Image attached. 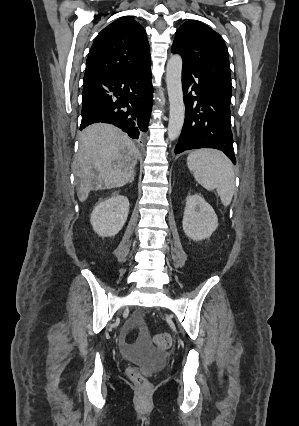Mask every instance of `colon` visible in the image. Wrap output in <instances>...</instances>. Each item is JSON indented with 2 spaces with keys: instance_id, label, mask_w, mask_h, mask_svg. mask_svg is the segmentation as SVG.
<instances>
[{
  "instance_id": "colon-1",
  "label": "colon",
  "mask_w": 299,
  "mask_h": 426,
  "mask_svg": "<svg viewBox=\"0 0 299 426\" xmlns=\"http://www.w3.org/2000/svg\"><path fill=\"white\" fill-rule=\"evenodd\" d=\"M154 344L159 349H167L172 344V338L168 333H161L154 337ZM127 375L136 385L140 394H147L151 390V384L148 380V372L138 367H130L127 370Z\"/></svg>"
}]
</instances>
